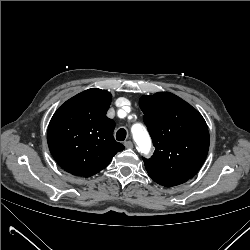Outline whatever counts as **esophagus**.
Segmentation results:
<instances>
[{
  "label": "esophagus",
  "instance_id": "esophagus-1",
  "mask_svg": "<svg viewBox=\"0 0 250 250\" xmlns=\"http://www.w3.org/2000/svg\"><path fill=\"white\" fill-rule=\"evenodd\" d=\"M124 145L127 149L133 148V143L131 141H125Z\"/></svg>",
  "mask_w": 250,
  "mask_h": 250
}]
</instances>
